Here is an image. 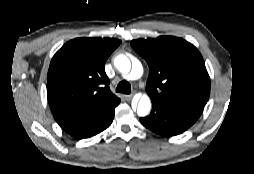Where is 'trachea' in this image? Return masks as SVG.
<instances>
[{"mask_svg": "<svg viewBox=\"0 0 254 174\" xmlns=\"http://www.w3.org/2000/svg\"><path fill=\"white\" fill-rule=\"evenodd\" d=\"M116 91L124 94H130L131 92V85L127 81H121L116 87Z\"/></svg>", "mask_w": 254, "mask_h": 174, "instance_id": "1", "label": "trachea"}]
</instances>
